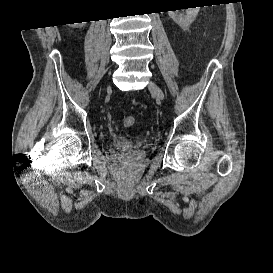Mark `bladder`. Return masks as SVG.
I'll use <instances>...</instances> for the list:
<instances>
[{
	"label": "bladder",
	"instance_id": "31cf9c89",
	"mask_svg": "<svg viewBox=\"0 0 273 273\" xmlns=\"http://www.w3.org/2000/svg\"><path fill=\"white\" fill-rule=\"evenodd\" d=\"M134 145V141L127 136L119 135L114 138V147L118 151H129L133 149Z\"/></svg>",
	"mask_w": 273,
	"mask_h": 273
}]
</instances>
